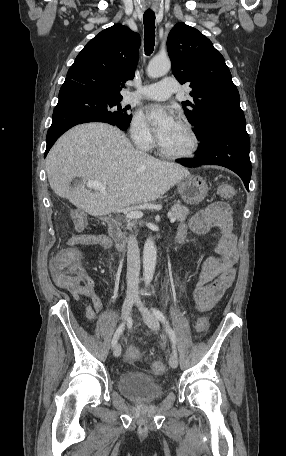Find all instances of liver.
Instances as JSON below:
<instances>
[{"instance_id":"liver-1","label":"liver","mask_w":286,"mask_h":456,"mask_svg":"<svg viewBox=\"0 0 286 456\" xmlns=\"http://www.w3.org/2000/svg\"><path fill=\"white\" fill-rule=\"evenodd\" d=\"M51 189L92 216L154 201L190 176L184 167L135 149L125 134L104 123L78 125L51 148L46 159ZM81 184L71 188L75 178ZM105 183L106 192L85 189L90 181Z\"/></svg>"}]
</instances>
